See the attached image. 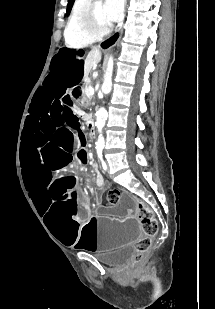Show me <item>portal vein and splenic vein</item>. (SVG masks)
I'll list each match as a JSON object with an SVG mask.
<instances>
[{"label": "portal vein and splenic vein", "mask_w": 215, "mask_h": 309, "mask_svg": "<svg viewBox=\"0 0 215 309\" xmlns=\"http://www.w3.org/2000/svg\"><path fill=\"white\" fill-rule=\"evenodd\" d=\"M86 92H88V94H94V88L90 86V88H86Z\"/></svg>", "instance_id": "portal-vein-and-splenic-vein-1"}]
</instances>
